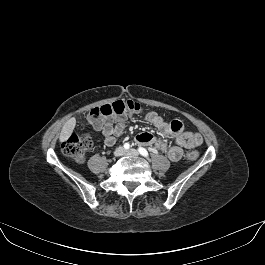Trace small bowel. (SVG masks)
<instances>
[{"label": "small bowel", "mask_w": 265, "mask_h": 265, "mask_svg": "<svg viewBox=\"0 0 265 265\" xmlns=\"http://www.w3.org/2000/svg\"><path fill=\"white\" fill-rule=\"evenodd\" d=\"M126 118L127 115L108 119L102 125L95 127L102 132L105 145L113 146L116 143L117 138L125 130ZM145 120L156 127L162 136L172 137L173 142L168 143L149 132L138 134L136 136V142L166 153L172 161L180 160L184 149H191L202 143L201 135L195 132L184 131L183 124L180 120L166 121L154 111L146 113Z\"/></svg>", "instance_id": "c3829d8e"}]
</instances>
